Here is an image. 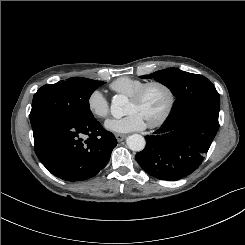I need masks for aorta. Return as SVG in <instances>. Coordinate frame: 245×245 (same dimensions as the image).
<instances>
[{"mask_svg":"<svg viewBox=\"0 0 245 245\" xmlns=\"http://www.w3.org/2000/svg\"><path fill=\"white\" fill-rule=\"evenodd\" d=\"M127 103V99L123 95H115L111 102V114L115 118H121L124 114V106ZM127 146L133 151H142L145 148V139L139 134H132L126 139Z\"/></svg>","mask_w":245,"mask_h":245,"instance_id":"obj_1","label":"aorta"}]
</instances>
